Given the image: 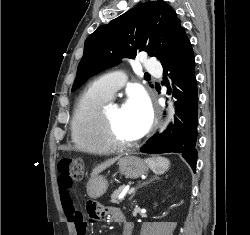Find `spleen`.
Masks as SVG:
<instances>
[{
	"label": "spleen",
	"mask_w": 250,
	"mask_h": 235,
	"mask_svg": "<svg viewBox=\"0 0 250 235\" xmlns=\"http://www.w3.org/2000/svg\"><path fill=\"white\" fill-rule=\"evenodd\" d=\"M145 162L155 174H163L170 166L169 160L160 156L147 158Z\"/></svg>",
	"instance_id": "spleen-1"
}]
</instances>
